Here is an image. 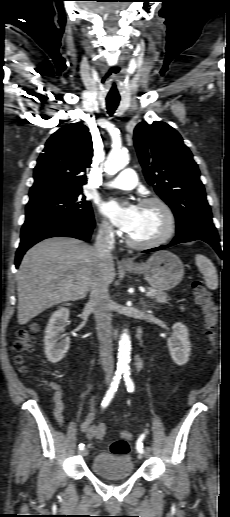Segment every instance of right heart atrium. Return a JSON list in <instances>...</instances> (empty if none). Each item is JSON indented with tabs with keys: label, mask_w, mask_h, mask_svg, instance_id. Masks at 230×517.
<instances>
[{
	"label": "right heart atrium",
	"mask_w": 230,
	"mask_h": 517,
	"mask_svg": "<svg viewBox=\"0 0 230 517\" xmlns=\"http://www.w3.org/2000/svg\"><path fill=\"white\" fill-rule=\"evenodd\" d=\"M100 232L105 237H111L115 234L113 227L107 222L102 221L100 224Z\"/></svg>",
	"instance_id": "d8ad5b80"
}]
</instances>
